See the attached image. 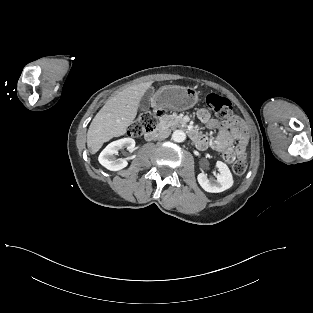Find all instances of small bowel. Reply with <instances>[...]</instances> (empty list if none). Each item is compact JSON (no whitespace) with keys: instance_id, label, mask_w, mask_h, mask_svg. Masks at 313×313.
<instances>
[{"instance_id":"obj_1","label":"small bowel","mask_w":313,"mask_h":313,"mask_svg":"<svg viewBox=\"0 0 313 313\" xmlns=\"http://www.w3.org/2000/svg\"><path fill=\"white\" fill-rule=\"evenodd\" d=\"M197 116L209 129L217 130L215 137H207L196 132L197 138L194 141L200 150L210 148L222 154L228 151L232 152L236 158L246 157L249 134L247 126L241 118L231 115L224 120H218L204 108L198 111Z\"/></svg>"}]
</instances>
